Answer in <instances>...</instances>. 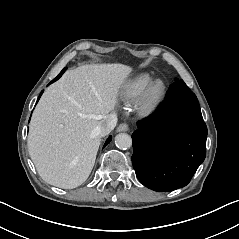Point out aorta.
<instances>
[{"label":"aorta","instance_id":"aorta-1","mask_svg":"<svg viewBox=\"0 0 239 239\" xmlns=\"http://www.w3.org/2000/svg\"><path fill=\"white\" fill-rule=\"evenodd\" d=\"M115 144L119 149L123 150L128 149L132 146V138L128 134L124 133L118 134L115 137Z\"/></svg>","mask_w":239,"mask_h":239}]
</instances>
